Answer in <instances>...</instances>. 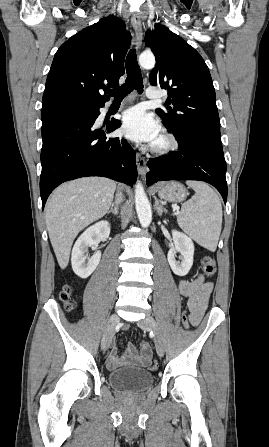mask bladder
<instances>
[{
	"label": "bladder",
	"mask_w": 269,
	"mask_h": 447,
	"mask_svg": "<svg viewBox=\"0 0 269 447\" xmlns=\"http://www.w3.org/2000/svg\"><path fill=\"white\" fill-rule=\"evenodd\" d=\"M108 382L111 387L128 396H139L145 388L153 386V373L145 369L126 366L110 371Z\"/></svg>",
	"instance_id": "obj_1"
}]
</instances>
